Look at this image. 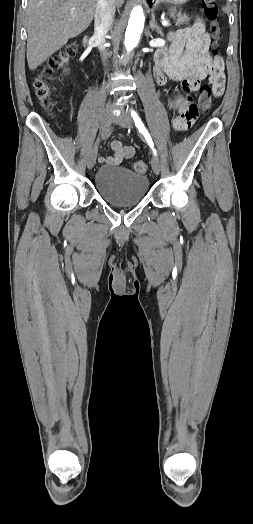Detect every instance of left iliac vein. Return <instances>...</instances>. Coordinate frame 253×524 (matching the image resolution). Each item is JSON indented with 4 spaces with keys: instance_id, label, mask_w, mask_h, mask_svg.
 Returning a JSON list of instances; mask_svg holds the SVG:
<instances>
[{
    "instance_id": "4c4485c4",
    "label": "left iliac vein",
    "mask_w": 253,
    "mask_h": 524,
    "mask_svg": "<svg viewBox=\"0 0 253 524\" xmlns=\"http://www.w3.org/2000/svg\"><path fill=\"white\" fill-rule=\"evenodd\" d=\"M114 123L120 125L121 127H124V128H130L132 127V120L130 118L129 115H127L126 113L122 112L119 116H116L114 117ZM151 166H152V169L154 171L155 174H159L160 173V170H161V162L160 160L156 157V156H153L152 159H151Z\"/></svg>"
}]
</instances>
